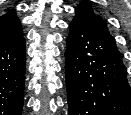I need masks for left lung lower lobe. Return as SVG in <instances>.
<instances>
[{"label":"left lung lower lobe","mask_w":131,"mask_h":115,"mask_svg":"<svg viewBox=\"0 0 131 115\" xmlns=\"http://www.w3.org/2000/svg\"><path fill=\"white\" fill-rule=\"evenodd\" d=\"M65 52L68 115H131L127 69L116 45L79 17Z\"/></svg>","instance_id":"left-lung-lower-lobe-1"}]
</instances>
